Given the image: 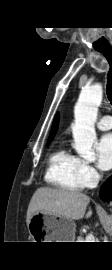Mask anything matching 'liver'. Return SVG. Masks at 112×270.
Masks as SVG:
<instances>
[{"mask_svg":"<svg viewBox=\"0 0 112 270\" xmlns=\"http://www.w3.org/2000/svg\"><path fill=\"white\" fill-rule=\"evenodd\" d=\"M90 197L78 192L63 188L41 187L31 198L27 209V224L36 213H49L64 216L68 219L79 220L85 216L90 218L92 211L85 215Z\"/></svg>","mask_w":112,"mask_h":270,"instance_id":"liver-1","label":"liver"}]
</instances>
